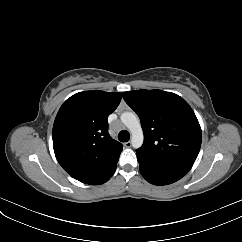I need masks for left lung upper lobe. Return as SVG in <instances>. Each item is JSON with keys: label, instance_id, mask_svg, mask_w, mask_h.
Here are the masks:
<instances>
[{"label": "left lung upper lobe", "instance_id": "left-lung-upper-lobe-1", "mask_svg": "<svg viewBox=\"0 0 242 242\" xmlns=\"http://www.w3.org/2000/svg\"><path fill=\"white\" fill-rule=\"evenodd\" d=\"M123 98L138 114L144 132V143L136 152L150 161L188 172L202 140L189 104L177 94L161 90L124 92Z\"/></svg>", "mask_w": 242, "mask_h": 242}]
</instances>
